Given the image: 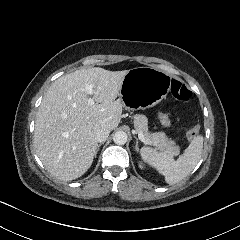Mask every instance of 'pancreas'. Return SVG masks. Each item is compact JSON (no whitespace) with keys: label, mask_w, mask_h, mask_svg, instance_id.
<instances>
[{"label":"pancreas","mask_w":240,"mask_h":240,"mask_svg":"<svg viewBox=\"0 0 240 240\" xmlns=\"http://www.w3.org/2000/svg\"><path fill=\"white\" fill-rule=\"evenodd\" d=\"M134 127L137 131L144 132L146 137V144L153 146L162 153L173 158L180 154L181 150L176 146L171 138H168L166 134L162 132H156L149 134L148 131V119L144 114H134Z\"/></svg>","instance_id":"pancreas-1"}]
</instances>
